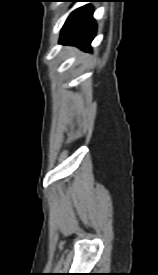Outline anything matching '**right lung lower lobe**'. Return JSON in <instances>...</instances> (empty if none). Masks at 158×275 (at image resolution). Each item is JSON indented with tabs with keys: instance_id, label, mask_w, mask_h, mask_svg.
<instances>
[{
	"instance_id": "obj_1",
	"label": "right lung lower lobe",
	"mask_w": 158,
	"mask_h": 275,
	"mask_svg": "<svg viewBox=\"0 0 158 275\" xmlns=\"http://www.w3.org/2000/svg\"><path fill=\"white\" fill-rule=\"evenodd\" d=\"M76 1L78 0H73V2ZM93 12L94 9L91 5L73 11L62 28L60 43L91 51L90 43L96 35L97 27Z\"/></svg>"
}]
</instances>
